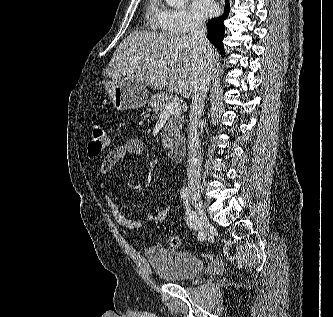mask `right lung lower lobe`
Instances as JSON below:
<instances>
[{"label":"right lung lower lobe","instance_id":"1","mask_svg":"<svg viewBox=\"0 0 333 317\" xmlns=\"http://www.w3.org/2000/svg\"><path fill=\"white\" fill-rule=\"evenodd\" d=\"M229 14V2L226 0L225 10L222 16L217 19H212L208 22V39L210 42L218 48L221 52H224L222 39L225 32L224 20Z\"/></svg>","mask_w":333,"mask_h":317}]
</instances>
